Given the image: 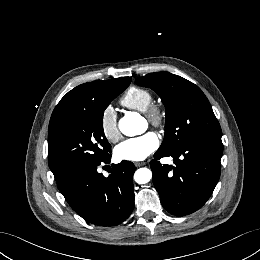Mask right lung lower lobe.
<instances>
[{
    "label": "right lung lower lobe",
    "instance_id": "98d812e1",
    "mask_svg": "<svg viewBox=\"0 0 260 260\" xmlns=\"http://www.w3.org/2000/svg\"><path fill=\"white\" fill-rule=\"evenodd\" d=\"M110 160L111 154L94 164L76 167L57 180L59 191L72 209L99 226L123 222L134 207V164L125 160L113 164L111 174L104 177L97 168Z\"/></svg>",
    "mask_w": 260,
    "mask_h": 260
}]
</instances>
